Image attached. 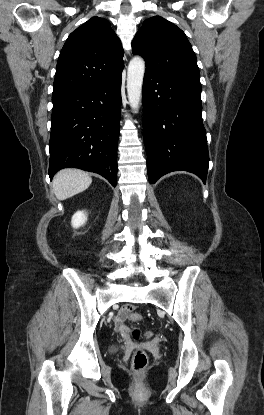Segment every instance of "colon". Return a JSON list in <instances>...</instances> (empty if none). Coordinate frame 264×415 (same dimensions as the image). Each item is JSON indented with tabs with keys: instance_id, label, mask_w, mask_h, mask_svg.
Instances as JSON below:
<instances>
[{
	"instance_id": "5ec220e1",
	"label": "colon",
	"mask_w": 264,
	"mask_h": 415,
	"mask_svg": "<svg viewBox=\"0 0 264 415\" xmlns=\"http://www.w3.org/2000/svg\"><path fill=\"white\" fill-rule=\"evenodd\" d=\"M130 314L128 316V320L130 323L137 324L142 320V314L139 311L133 310L132 308L129 309ZM134 338L138 339L141 336V332L138 329L133 331ZM148 365V355L142 351L138 350L134 353L132 359V367L134 372L137 375H141Z\"/></svg>"
}]
</instances>
